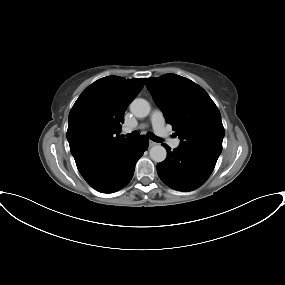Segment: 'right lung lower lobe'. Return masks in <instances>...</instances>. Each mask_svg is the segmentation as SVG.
<instances>
[{
  "label": "right lung lower lobe",
  "instance_id": "98d812e1",
  "mask_svg": "<svg viewBox=\"0 0 285 285\" xmlns=\"http://www.w3.org/2000/svg\"><path fill=\"white\" fill-rule=\"evenodd\" d=\"M148 144L146 136L117 143L77 164V168L86 182L97 191L116 192L129 183L135 164Z\"/></svg>",
  "mask_w": 285,
  "mask_h": 285
}]
</instances>
